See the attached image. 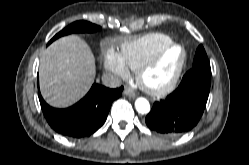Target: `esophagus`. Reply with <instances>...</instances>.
I'll use <instances>...</instances> for the list:
<instances>
[{"instance_id": "1", "label": "esophagus", "mask_w": 249, "mask_h": 165, "mask_svg": "<svg viewBox=\"0 0 249 165\" xmlns=\"http://www.w3.org/2000/svg\"><path fill=\"white\" fill-rule=\"evenodd\" d=\"M124 94L131 98H134L136 96V93L131 88H125Z\"/></svg>"}]
</instances>
